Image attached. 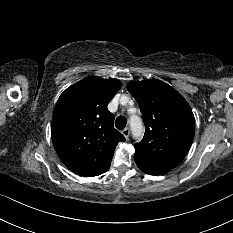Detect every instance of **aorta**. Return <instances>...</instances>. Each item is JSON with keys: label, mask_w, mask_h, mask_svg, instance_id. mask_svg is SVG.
Returning <instances> with one entry per match:
<instances>
[{"label": "aorta", "mask_w": 233, "mask_h": 233, "mask_svg": "<svg viewBox=\"0 0 233 233\" xmlns=\"http://www.w3.org/2000/svg\"><path fill=\"white\" fill-rule=\"evenodd\" d=\"M130 127L134 137L139 138L142 136L143 124L139 117L134 116L130 118Z\"/></svg>", "instance_id": "aorta-1"}]
</instances>
